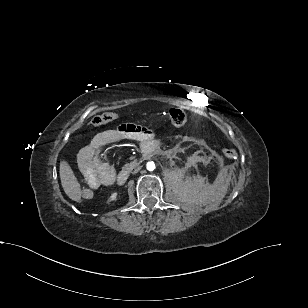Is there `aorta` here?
<instances>
[{
	"instance_id": "obj_1",
	"label": "aorta",
	"mask_w": 308,
	"mask_h": 308,
	"mask_svg": "<svg viewBox=\"0 0 308 308\" xmlns=\"http://www.w3.org/2000/svg\"><path fill=\"white\" fill-rule=\"evenodd\" d=\"M147 169H148L149 171H153V170L155 169V164H154V162H148V163H147Z\"/></svg>"
}]
</instances>
